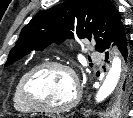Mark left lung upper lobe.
Returning <instances> with one entry per match:
<instances>
[{
  "label": "left lung upper lobe",
  "mask_w": 133,
  "mask_h": 118,
  "mask_svg": "<svg viewBox=\"0 0 133 118\" xmlns=\"http://www.w3.org/2000/svg\"><path fill=\"white\" fill-rule=\"evenodd\" d=\"M121 24L119 12L109 0L65 1L39 12L24 26L5 66L32 50H43L51 43L60 44L66 39H73L74 35L89 40L94 35L95 49L101 52ZM130 94L129 88H119L109 103L107 115L122 116L127 111Z\"/></svg>",
  "instance_id": "obj_1"
}]
</instances>
